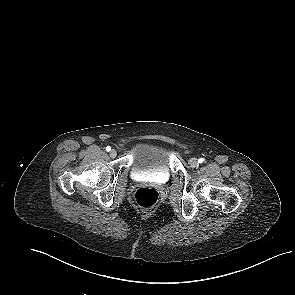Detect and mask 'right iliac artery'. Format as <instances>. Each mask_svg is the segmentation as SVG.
I'll list each match as a JSON object with an SVG mask.
<instances>
[{
  "mask_svg": "<svg viewBox=\"0 0 295 295\" xmlns=\"http://www.w3.org/2000/svg\"><path fill=\"white\" fill-rule=\"evenodd\" d=\"M110 150H111V147H110V146H107V147H106V151L109 152Z\"/></svg>",
  "mask_w": 295,
  "mask_h": 295,
  "instance_id": "right-iliac-artery-1",
  "label": "right iliac artery"
}]
</instances>
